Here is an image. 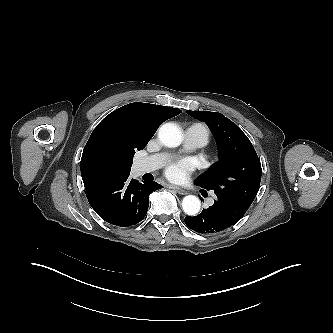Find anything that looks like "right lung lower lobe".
Masks as SVG:
<instances>
[{
  "label": "right lung lower lobe",
  "instance_id": "right-lung-lower-lobe-1",
  "mask_svg": "<svg viewBox=\"0 0 333 333\" xmlns=\"http://www.w3.org/2000/svg\"><path fill=\"white\" fill-rule=\"evenodd\" d=\"M163 188L156 182L139 183L129 174L104 180L86 196L95 212L106 222L120 227L139 223L146 215L151 192Z\"/></svg>",
  "mask_w": 333,
  "mask_h": 333
}]
</instances>
